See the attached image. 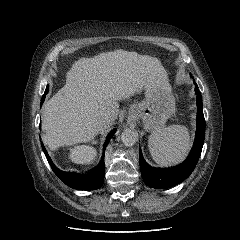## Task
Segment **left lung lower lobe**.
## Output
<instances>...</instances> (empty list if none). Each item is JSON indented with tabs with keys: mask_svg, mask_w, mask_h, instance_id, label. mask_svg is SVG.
<instances>
[{
	"mask_svg": "<svg viewBox=\"0 0 240 240\" xmlns=\"http://www.w3.org/2000/svg\"><path fill=\"white\" fill-rule=\"evenodd\" d=\"M195 84L197 95V129L193 147L187 159L180 165L172 168L151 167L139 153L140 169L144 182L156 189L169 188L183 182L194 170L201 155L205 138V119L202 107V95Z\"/></svg>",
	"mask_w": 240,
	"mask_h": 240,
	"instance_id": "left-lung-lower-lobe-1",
	"label": "left lung lower lobe"
}]
</instances>
